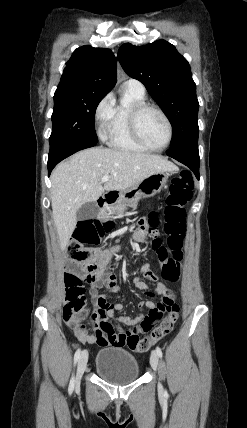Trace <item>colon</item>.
Masks as SVG:
<instances>
[{"label":"colon","mask_w":247,"mask_h":428,"mask_svg":"<svg viewBox=\"0 0 247 428\" xmlns=\"http://www.w3.org/2000/svg\"><path fill=\"white\" fill-rule=\"evenodd\" d=\"M194 189L192 175L182 172L172 179L169 194L166 198L165 224L166 241L156 237L152 241V248L157 254L161 267V277L168 282H176L181 275V262L184 257L183 243L185 237V205L191 199ZM117 219L107 217L101 223L99 217H92L90 221L81 222L75 235L76 243H97L98 239H105L107 232L115 230ZM155 214L149 217V226L152 230L158 226ZM139 226H146L148 219L139 217ZM68 266L73 273L65 275L66 301L63 307V319L76 334L86 331L82 321L87 315L85 289L81 279L90 285H98L103 279V271L97 258L91 251L83 250L78 244L69 250ZM82 274L80 277L75 270ZM138 308L143 305L148 310V319L136 322V329H126L116 332L114 326L107 321V312L102 305H97L91 316L94 328L93 337L101 341L107 339L111 345L127 346L135 352L147 351L155 342L162 340L172 330L178 320L179 306L172 298H154L153 300H139ZM166 315V316H165ZM165 316V317H164ZM148 335L140 337L138 333Z\"/></svg>","instance_id":"colon-1"}]
</instances>
